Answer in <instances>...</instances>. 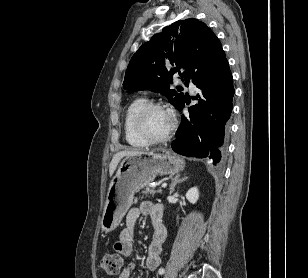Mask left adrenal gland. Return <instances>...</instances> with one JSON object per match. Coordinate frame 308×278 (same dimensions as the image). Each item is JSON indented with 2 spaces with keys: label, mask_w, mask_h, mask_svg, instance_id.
Returning a JSON list of instances; mask_svg holds the SVG:
<instances>
[{
  "label": "left adrenal gland",
  "mask_w": 308,
  "mask_h": 278,
  "mask_svg": "<svg viewBox=\"0 0 308 278\" xmlns=\"http://www.w3.org/2000/svg\"><path fill=\"white\" fill-rule=\"evenodd\" d=\"M186 179H188V177H183L180 179V174H177L171 181V184H170V192L169 194H172L175 190V186L178 184V183H182L184 182Z\"/></svg>",
  "instance_id": "a2214340"
}]
</instances>
